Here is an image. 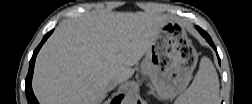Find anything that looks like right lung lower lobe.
<instances>
[{
	"label": "right lung lower lobe",
	"instance_id": "obj_1",
	"mask_svg": "<svg viewBox=\"0 0 252 104\" xmlns=\"http://www.w3.org/2000/svg\"><path fill=\"white\" fill-rule=\"evenodd\" d=\"M53 32L50 31L49 33H47L41 43L39 44V46L36 48V50L33 53V56L30 60L29 63V71L25 80V92H26V96H27V100H28V104H38V101L36 99V97L34 96V93L32 91V86H31V82H32V76H33V69H34V64H35V59L37 56L38 51L40 50V48L42 47V45L44 44V42L47 40V38L51 35V33ZM123 95H119L116 98H114L111 102V104H119L120 101L122 100Z\"/></svg>",
	"mask_w": 252,
	"mask_h": 104
}]
</instances>
